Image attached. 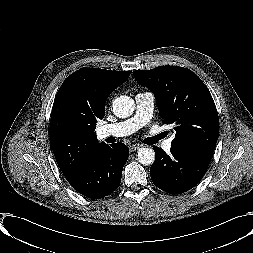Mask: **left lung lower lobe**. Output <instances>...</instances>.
I'll return each instance as SVG.
<instances>
[{
    "label": "left lung lower lobe",
    "instance_id": "1",
    "mask_svg": "<svg viewBox=\"0 0 253 253\" xmlns=\"http://www.w3.org/2000/svg\"><path fill=\"white\" fill-rule=\"evenodd\" d=\"M155 162L150 168L153 183L169 194L184 193L196 186L206 173L214 150L195 146L172 145L166 154L153 147Z\"/></svg>",
    "mask_w": 253,
    "mask_h": 253
}]
</instances>
